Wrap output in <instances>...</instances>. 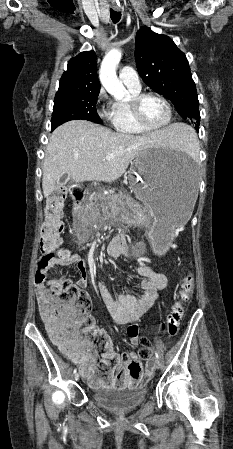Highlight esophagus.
<instances>
[{"instance_id": "esophagus-1", "label": "esophagus", "mask_w": 233, "mask_h": 449, "mask_svg": "<svg viewBox=\"0 0 233 449\" xmlns=\"http://www.w3.org/2000/svg\"><path fill=\"white\" fill-rule=\"evenodd\" d=\"M114 9H115V10H118V7H117V6H114Z\"/></svg>"}]
</instances>
